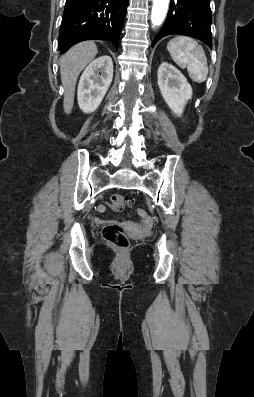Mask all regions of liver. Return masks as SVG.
<instances>
[{
    "mask_svg": "<svg viewBox=\"0 0 254 397\" xmlns=\"http://www.w3.org/2000/svg\"><path fill=\"white\" fill-rule=\"evenodd\" d=\"M93 41H85L72 47L60 60V76L64 87V111L69 114L73 108L76 82L81 71L97 55Z\"/></svg>",
    "mask_w": 254,
    "mask_h": 397,
    "instance_id": "obj_1",
    "label": "liver"
}]
</instances>
